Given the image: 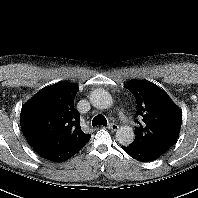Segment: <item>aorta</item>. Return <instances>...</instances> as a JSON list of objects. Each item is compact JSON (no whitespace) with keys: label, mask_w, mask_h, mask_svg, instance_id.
I'll return each instance as SVG.
<instances>
[{"label":"aorta","mask_w":198,"mask_h":198,"mask_svg":"<svg viewBox=\"0 0 198 198\" xmlns=\"http://www.w3.org/2000/svg\"><path fill=\"white\" fill-rule=\"evenodd\" d=\"M90 100L93 106L98 109H108L113 105L112 96L107 91L102 89L95 90L92 93ZM116 138L119 143L123 145L132 143L135 138L133 128L130 126L120 127L116 132Z\"/></svg>","instance_id":"obj_1"}]
</instances>
